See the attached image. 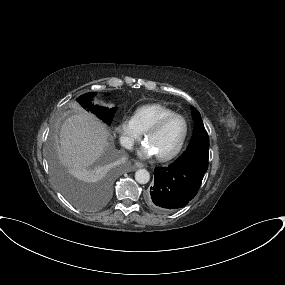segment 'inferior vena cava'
Instances as JSON below:
<instances>
[{
    "label": "inferior vena cava",
    "instance_id": "inferior-vena-cava-1",
    "mask_svg": "<svg viewBox=\"0 0 285 285\" xmlns=\"http://www.w3.org/2000/svg\"><path fill=\"white\" fill-rule=\"evenodd\" d=\"M120 143L126 149H132L134 141L130 137L123 136L120 138Z\"/></svg>",
    "mask_w": 285,
    "mask_h": 285
}]
</instances>
